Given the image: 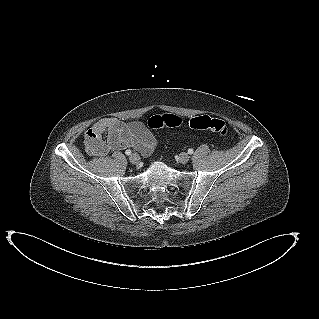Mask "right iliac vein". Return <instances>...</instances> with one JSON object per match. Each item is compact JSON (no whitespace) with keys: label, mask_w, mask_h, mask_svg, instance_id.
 <instances>
[{"label":"right iliac vein","mask_w":319,"mask_h":319,"mask_svg":"<svg viewBox=\"0 0 319 319\" xmlns=\"http://www.w3.org/2000/svg\"><path fill=\"white\" fill-rule=\"evenodd\" d=\"M129 160L132 164H138L140 161V156L137 153H133L130 155Z\"/></svg>","instance_id":"63e3f726"}]
</instances>
